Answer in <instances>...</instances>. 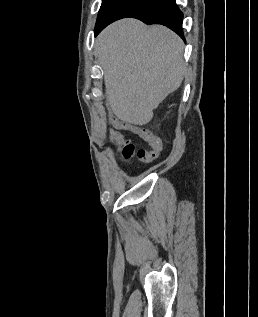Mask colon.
I'll use <instances>...</instances> for the list:
<instances>
[{
    "mask_svg": "<svg viewBox=\"0 0 258 317\" xmlns=\"http://www.w3.org/2000/svg\"><path fill=\"white\" fill-rule=\"evenodd\" d=\"M111 140L119 147L122 155L127 159L136 157L140 161L150 162L157 157L154 151L137 149L129 139L118 131L112 132Z\"/></svg>",
    "mask_w": 258,
    "mask_h": 317,
    "instance_id": "5ec220e1",
    "label": "colon"
}]
</instances>
